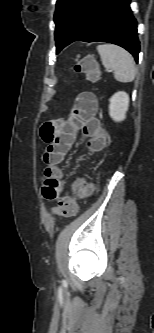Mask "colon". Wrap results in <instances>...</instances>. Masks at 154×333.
Returning a JSON list of instances; mask_svg holds the SVG:
<instances>
[{"instance_id": "5ec220e1", "label": "colon", "mask_w": 154, "mask_h": 333, "mask_svg": "<svg viewBox=\"0 0 154 333\" xmlns=\"http://www.w3.org/2000/svg\"><path fill=\"white\" fill-rule=\"evenodd\" d=\"M74 71L83 73L92 82L99 79V70L95 59L91 56L82 58L74 65ZM99 164L96 166L98 167ZM89 177L84 176L75 180L72 185V195L59 199L57 205L52 209L53 213L63 217H71L77 213L78 204L76 194L83 190Z\"/></svg>"}]
</instances>
